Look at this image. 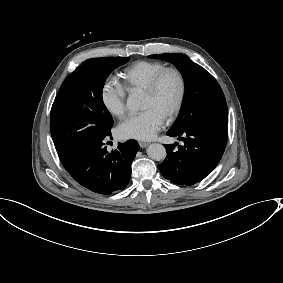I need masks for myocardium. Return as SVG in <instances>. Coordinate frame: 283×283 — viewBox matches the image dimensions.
I'll return each instance as SVG.
<instances>
[{
  "label": "myocardium",
  "mask_w": 283,
  "mask_h": 283,
  "mask_svg": "<svg viewBox=\"0 0 283 283\" xmlns=\"http://www.w3.org/2000/svg\"><path fill=\"white\" fill-rule=\"evenodd\" d=\"M173 73L176 75L179 83V90L178 95L175 100L174 105L171 107V109L167 112L165 115L166 118H172L175 116L181 109L185 93H186V80L185 77L180 69L177 67H166L162 71H160L157 75L154 76V78L148 83V85L142 90V92L146 95H153L157 92L162 80L167 76L168 74Z\"/></svg>",
  "instance_id": "obj_1"
}]
</instances>
